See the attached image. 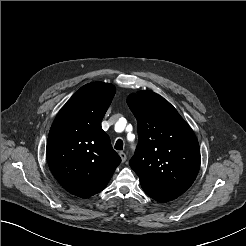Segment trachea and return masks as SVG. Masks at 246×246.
<instances>
[{
  "label": "trachea",
  "instance_id": "3493384b",
  "mask_svg": "<svg viewBox=\"0 0 246 246\" xmlns=\"http://www.w3.org/2000/svg\"><path fill=\"white\" fill-rule=\"evenodd\" d=\"M116 150H122L123 149V141L121 139H118L116 141V144L114 146Z\"/></svg>",
  "mask_w": 246,
  "mask_h": 246
}]
</instances>
